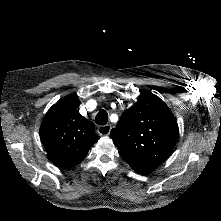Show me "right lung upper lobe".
<instances>
[{"mask_svg":"<svg viewBox=\"0 0 221 221\" xmlns=\"http://www.w3.org/2000/svg\"><path fill=\"white\" fill-rule=\"evenodd\" d=\"M77 97L61 98L47 112L40 128V137L48 159L61 168L78 165L99 140L93 124L76 110Z\"/></svg>","mask_w":221,"mask_h":221,"instance_id":"cb5924a9","label":"right lung upper lobe"}]
</instances>
